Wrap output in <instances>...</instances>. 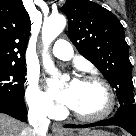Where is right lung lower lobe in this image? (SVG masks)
Wrapping results in <instances>:
<instances>
[{
	"mask_svg": "<svg viewBox=\"0 0 136 136\" xmlns=\"http://www.w3.org/2000/svg\"><path fill=\"white\" fill-rule=\"evenodd\" d=\"M0 113L8 114L20 121L27 120V108L24 103H0Z\"/></svg>",
	"mask_w": 136,
	"mask_h": 136,
	"instance_id": "1",
	"label": "right lung lower lobe"
}]
</instances>
